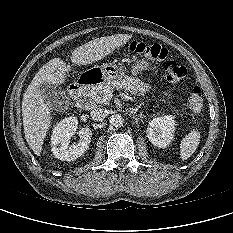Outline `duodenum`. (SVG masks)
Returning <instances> with one entry per match:
<instances>
[{"label":"duodenum","instance_id":"1","mask_svg":"<svg viewBox=\"0 0 233 233\" xmlns=\"http://www.w3.org/2000/svg\"><path fill=\"white\" fill-rule=\"evenodd\" d=\"M95 81L96 78L94 76H82L68 87V93L72 98L76 99L82 94V92L88 85L94 83Z\"/></svg>","mask_w":233,"mask_h":233}]
</instances>
